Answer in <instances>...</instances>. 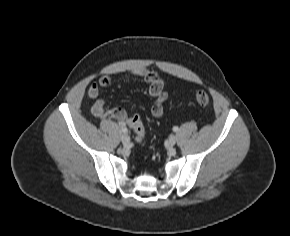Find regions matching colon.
<instances>
[{
	"mask_svg": "<svg viewBox=\"0 0 290 236\" xmlns=\"http://www.w3.org/2000/svg\"><path fill=\"white\" fill-rule=\"evenodd\" d=\"M195 100L198 105L206 106L209 103V95L204 90H197L195 93ZM131 127L134 131L136 140H141L145 136V128L138 115L131 116L129 120Z\"/></svg>",
	"mask_w": 290,
	"mask_h": 236,
	"instance_id": "obj_1",
	"label": "colon"
}]
</instances>
